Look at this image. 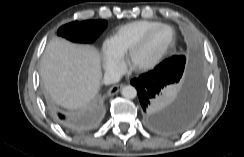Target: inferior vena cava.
Segmentation results:
<instances>
[{
    "label": "inferior vena cava",
    "instance_id": "602c4592",
    "mask_svg": "<svg viewBox=\"0 0 244 157\" xmlns=\"http://www.w3.org/2000/svg\"><path fill=\"white\" fill-rule=\"evenodd\" d=\"M120 80V74L115 71L106 72L103 78V83L106 85L117 83Z\"/></svg>",
    "mask_w": 244,
    "mask_h": 157
}]
</instances>
